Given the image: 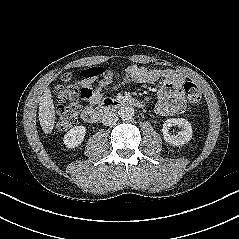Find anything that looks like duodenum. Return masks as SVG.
Here are the masks:
<instances>
[{
	"label": "duodenum",
	"instance_id": "duodenum-1",
	"mask_svg": "<svg viewBox=\"0 0 239 239\" xmlns=\"http://www.w3.org/2000/svg\"><path fill=\"white\" fill-rule=\"evenodd\" d=\"M130 105L136 108H143V103L134 98H106L95 107H86L82 111V119L88 123L98 122L108 112Z\"/></svg>",
	"mask_w": 239,
	"mask_h": 239
}]
</instances>
